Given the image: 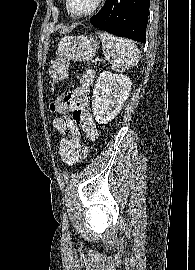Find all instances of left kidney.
<instances>
[{
    "instance_id": "1",
    "label": "left kidney",
    "mask_w": 195,
    "mask_h": 270,
    "mask_svg": "<svg viewBox=\"0 0 195 270\" xmlns=\"http://www.w3.org/2000/svg\"><path fill=\"white\" fill-rule=\"evenodd\" d=\"M132 82L122 74L103 71L93 89L92 110L99 124H107L120 112L129 97Z\"/></svg>"
}]
</instances>
